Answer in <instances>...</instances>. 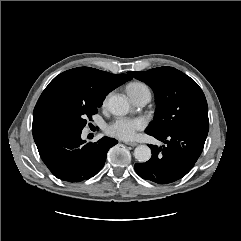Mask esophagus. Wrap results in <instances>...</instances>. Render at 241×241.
Wrapping results in <instances>:
<instances>
[{
  "mask_svg": "<svg viewBox=\"0 0 241 241\" xmlns=\"http://www.w3.org/2000/svg\"><path fill=\"white\" fill-rule=\"evenodd\" d=\"M125 144H126V145H129V146H132V147H134V146H137V145H138V143H137V142H129V141H126V142H125Z\"/></svg>",
  "mask_w": 241,
  "mask_h": 241,
  "instance_id": "1",
  "label": "esophagus"
}]
</instances>
